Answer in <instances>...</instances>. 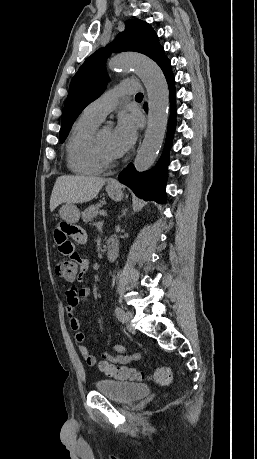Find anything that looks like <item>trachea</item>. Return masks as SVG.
I'll use <instances>...</instances> for the list:
<instances>
[{"label": "trachea", "instance_id": "trachea-1", "mask_svg": "<svg viewBox=\"0 0 257 459\" xmlns=\"http://www.w3.org/2000/svg\"><path fill=\"white\" fill-rule=\"evenodd\" d=\"M135 97L136 98H143V94L142 93H137Z\"/></svg>", "mask_w": 257, "mask_h": 459}]
</instances>
